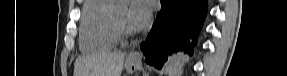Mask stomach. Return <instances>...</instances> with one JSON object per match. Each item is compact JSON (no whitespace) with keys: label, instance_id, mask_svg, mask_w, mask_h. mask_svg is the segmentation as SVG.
I'll return each mask as SVG.
<instances>
[{"label":"stomach","instance_id":"stomach-1","mask_svg":"<svg viewBox=\"0 0 287 76\" xmlns=\"http://www.w3.org/2000/svg\"><path fill=\"white\" fill-rule=\"evenodd\" d=\"M140 63L136 60H133L129 57H127L125 61V69L128 73H133L138 67Z\"/></svg>","mask_w":287,"mask_h":76}]
</instances>
